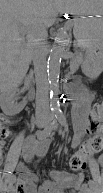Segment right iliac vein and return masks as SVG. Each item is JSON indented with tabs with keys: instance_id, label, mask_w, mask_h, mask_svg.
I'll list each match as a JSON object with an SVG mask.
<instances>
[{
	"instance_id": "1",
	"label": "right iliac vein",
	"mask_w": 103,
	"mask_h": 193,
	"mask_svg": "<svg viewBox=\"0 0 103 193\" xmlns=\"http://www.w3.org/2000/svg\"><path fill=\"white\" fill-rule=\"evenodd\" d=\"M37 126H38L39 128H43V127L46 126V122H45V121H39V122H37Z\"/></svg>"
}]
</instances>
